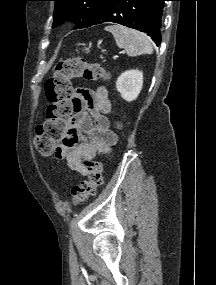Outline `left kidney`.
Here are the masks:
<instances>
[{"instance_id":"1","label":"left kidney","mask_w":216,"mask_h":285,"mask_svg":"<svg viewBox=\"0 0 216 285\" xmlns=\"http://www.w3.org/2000/svg\"><path fill=\"white\" fill-rule=\"evenodd\" d=\"M143 86V72L139 70H128L122 73L117 81L116 88L121 97L131 102L135 100Z\"/></svg>"}]
</instances>
